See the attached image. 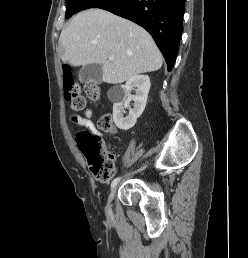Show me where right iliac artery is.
<instances>
[{
	"label": "right iliac artery",
	"instance_id": "obj_1",
	"mask_svg": "<svg viewBox=\"0 0 248 258\" xmlns=\"http://www.w3.org/2000/svg\"><path fill=\"white\" fill-rule=\"evenodd\" d=\"M144 168H145V167H143L142 169H144ZM142 169H140V170H142ZM120 179H121L120 177L115 178V179L112 181V183H111V187L113 188L115 185H117V183L119 182Z\"/></svg>",
	"mask_w": 248,
	"mask_h": 258
}]
</instances>
